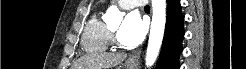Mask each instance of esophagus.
Listing matches in <instances>:
<instances>
[{
  "label": "esophagus",
  "instance_id": "1",
  "mask_svg": "<svg viewBox=\"0 0 246 69\" xmlns=\"http://www.w3.org/2000/svg\"><path fill=\"white\" fill-rule=\"evenodd\" d=\"M141 51H138L135 53V55L132 57L133 59H138L140 57Z\"/></svg>",
  "mask_w": 246,
  "mask_h": 69
}]
</instances>
